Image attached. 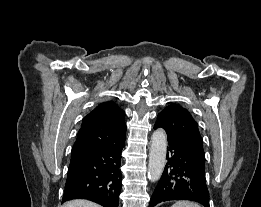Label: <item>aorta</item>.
Segmentation results:
<instances>
[{
  "instance_id": "obj_1",
  "label": "aorta",
  "mask_w": 261,
  "mask_h": 207,
  "mask_svg": "<svg viewBox=\"0 0 261 207\" xmlns=\"http://www.w3.org/2000/svg\"><path fill=\"white\" fill-rule=\"evenodd\" d=\"M167 137L162 129L153 132L148 164V178L151 182L160 179L166 161Z\"/></svg>"
}]
</instances>
